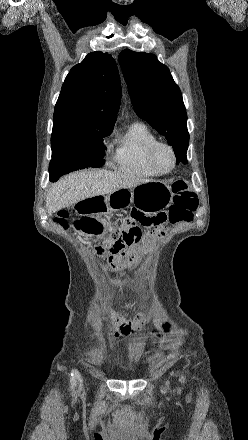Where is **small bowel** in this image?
Here are the masks:
<instances>
[{
	"mask_svg": "<svg viewBox=\"0 0 248 440\" xmlns=\"http://www.w3.org/2000/svg\"><path fill=\"white\" fill-rule=\"evenodd\" d=\"M108 327L112 329L116 339H122L128 335L137 334L142 331L143 320L137 317L133 320H126L120 315L108 311L107 313Z\"/></svg>",
	"mask_w": 248,
	"mask_h": 440,
	"instance_id": "1",
	"label": "small bowel"
}]
</instances>
